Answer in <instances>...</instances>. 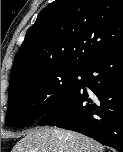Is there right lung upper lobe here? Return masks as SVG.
<instances>
[{
    "mask_svg": "<svg viewBox=\"0 0 123 152\" xmlns=\"http://www.w3.org/2000/svg\"><path fill=\"white\" fill-rule=\"evenodd\" d=\"M123 42V0H55L28 29L11 71L12 88L26 76L83 70Z\"/></svg>",
    "mask_w": 123,
    "mask_h": 152,
    "instance_id": "right-lung-upper-lobe-1",
    "label": "right lung upper lobe"
}]
</instances>
